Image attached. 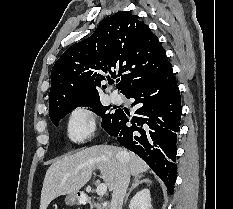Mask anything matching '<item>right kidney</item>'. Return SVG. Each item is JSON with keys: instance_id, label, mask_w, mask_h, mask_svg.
Wrapping results in <instances>:
<instances>
[{"instance_id": "obj_1", "label": "right kidney", "mask_w": 233, "mask_h": 209, "mask_svg": "<svg viewBox=\"0 0 233 209\" xmlns=\"http://www.w3.org/2000/svg\"><path fill=\"white\" fill-rule=\"evenodd\" d=\"M129 209H152L150 190L145 188L137 192L129 204Z\"/></svg>"}]
</instances>
